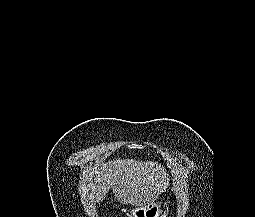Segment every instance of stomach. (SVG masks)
<instances>
[{
    "label": "stomach",
    "mask_w": 255,
    "mask_h": 217,
    "mask_svg": "<svg viewBox=\"0 0 255 217\" xmlns=\"http://www.w3.org/2000/svg\"><path fill=\"white\" fill-rule=\"evenodd\" d=\"M131 217H165L161 206L157 202H153L146 206L136 207L131 210Z\"/></svg>",
    "instance_id": "obj_1"
}]
</instances>
